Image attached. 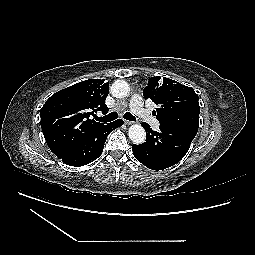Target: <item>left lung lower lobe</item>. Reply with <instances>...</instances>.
Listing matches in <instances>:
<instances>
[{"mask_svg": "<svg viewBox=\"0 0 255 255\" xmlns=\"http://www.w3.org/2000/svg\"><path fill=\"white\" fill-rule=\"evenodd\" d=\"M146 141L133 145L135 158L152 170H163L179 162L187 153L198 129L168 123H160L159 131H153L147 123Z\"/></svg>", "mask_w": 255, "mask_h": 255, "instance_id": "0a47b994", "label": "left lung lower lobe"}]
</instances>
